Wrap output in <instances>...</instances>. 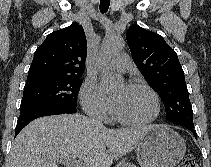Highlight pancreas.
<instances>
[{
	"instance_id": "1",
	"label": "pancreas",
	"mask_w": 211,
	"mask_h": 167,
	"mask_svg": "<svg viewBox=\"0 0 211 167\" xmlns=\"http://www.w3.org/2000/svg\"><path fill=\"white\" fill-rule=\"evenodd\" d=\"M122 167H137L136 165L132 164V163H124L122 165Z\"/></svg>"
}]
</instances>
